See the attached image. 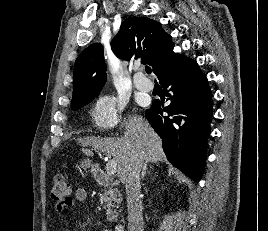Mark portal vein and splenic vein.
<instances>
[{
  "label": "portal vein and splenic vein",
  "instance_id": "portal-vein-and-splenic-vein-1",
  "mask_svg": "<svg viewBox=\"0 0 268 231\" xmlns=\"http://www.w3.org/2000/svg\"><path fill=\"white\" fill-rule=\"evenodd\" d=\"M108 156H109V160L106 163V167H105L106 172L109 176H114L117 170V163L113 158H111V155H108Z\"/></svg>",
  "mask_w": 268,
  "mask_h": 231
}]
</instances>
